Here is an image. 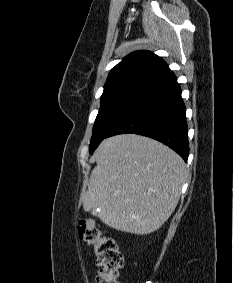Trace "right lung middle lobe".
<instances>
[{
    "label": "right lung middle lobe",
    "mask_w": 233,
    "mask_h": 283,
    "mask_svg": "<svg viewBox=\"0 0 233 283\" xmlns=\"http://www.w3.org/2000/svg\"><path fill=\"white\" fill-rule=\"evenodd\" d=\"M149 84L150 81L133 80L104 89L101 107L93 126L90 153L107 137L109 130Z\"/></svg>",
    "instance_id": "obj_1"
}]
</instances>
